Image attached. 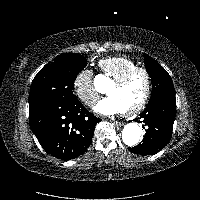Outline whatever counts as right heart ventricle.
Here are the masks:
<instances>
[{
    "mask_svg": "<svg viewBox=\"0 0 200 200\" xmlns=\"http://www.w3.org/2000/svg\"><path fill=\"white\" fill-rule=\"evenodd\" d=\"M99 67L104 75L115 81L126 72L137 68L138 64L125 56H113L100 60Z\"/></svg>",
    "mask_w": 200,
    "mask_h": 200,
    "instance_id": "e07e8e85",
    "label": "right heart ventricle"
}]
</instances>
